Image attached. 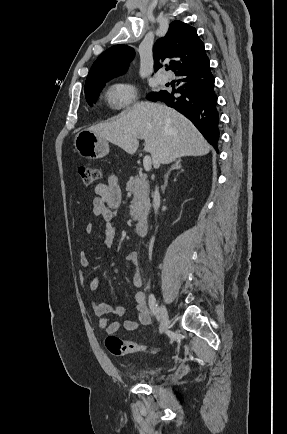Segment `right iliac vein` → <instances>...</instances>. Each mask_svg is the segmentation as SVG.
Listing matches in <instances>:
<instances>
[{
  "mask_svg": "<svg viewBox=\"0 0 287 434\" xmlns=\"http://www.w3.org/2000/svg\"><path fill=\"white\" fill-rule=\"evenodd\" d=\"M160 315H161L160 333L163 334L166 332L170 324L168 311L164 303H161Z\"/></svg>",
  "mask_w": 287,
  "mask_h": 434,
  "instance_id": "right-iliac-vein-1",
  "label": "right iliac vein"
}]
</instances>
